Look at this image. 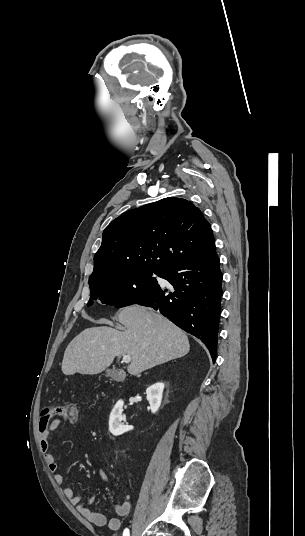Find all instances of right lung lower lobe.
<instances>
[{
  "instance_id": "obj_1",
  "label": "right lung lower lobe",
  "mask_w": 305,
  "mask_h": 536,
  "mask_svg": "<svg viewBox=\"0 0 305 536\" xmlns=\"http://www.w3.org/2000/svg\"><path fill=\"white\" fill-rule=\"evenodd\" d=\"M215 246L203 254L165 269L162 278L174 292L158 285L137 303L159 309L173 323L199 338L209 349L213 362L222 297V273Z\"/></svg>"
}]
</instances>
